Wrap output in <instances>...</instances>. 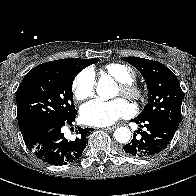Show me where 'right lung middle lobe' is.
I'll return each instance as SVG.
<instances>
[{
  "label": "right lung middle lobe",
  "mask_w": 196,
  "mask_h": 196,
  "mask_svg": "<svg viewBox=\"0 0 196 196\" xmlns=\"http://www.w3.org/2000/svg\"><path fill=\"white\" fill-rule=\"evenodd\" d=\"M81 70L61 60L30 70L16 91L20 130L38 122L67 120L75 115L72 83Z\"/></svg>",
  "instance_id": "right-lung-middle-lobe-1"
}]
</instances>
